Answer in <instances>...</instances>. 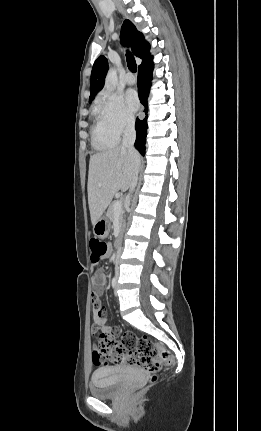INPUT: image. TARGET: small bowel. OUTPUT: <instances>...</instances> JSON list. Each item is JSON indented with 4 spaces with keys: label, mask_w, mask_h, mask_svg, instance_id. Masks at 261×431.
I'll return each instance as SVG.
<instances>
[{
    "label": "small bowel",
    "mask_w": 261,
    "mask_h": 431,
    "mask_svg": "<svg viewBox=\"0 0 261 431\" xmlns=\"http://www.w3.org/2000/svg\"><path fill=\"white\" fill-rule=\"evenodd\" d=\"M93 284L96 289L92 291V299L91 304L93 306L94 312L92 316L94 317V325L91 327L93 331L92 336H95V333L102 331L103 334H111L114 335L117 331L111 328L106 319V313L102 310L103 303V290L106 285V275L101 271L97 270L92 278ZM98 360L96 355H94V362Z\"/></svg>",
    "instance_id": "obj_1"
}]
</instances>
